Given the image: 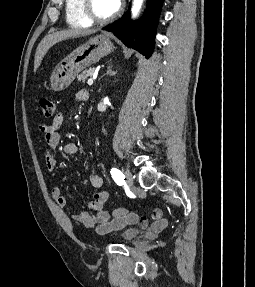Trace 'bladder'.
Returning <instances> with one entry per match:
<instances>
[{"label":"bladder","instance_id":"31cf9c89","mask_svg":"<svg viewBox=\"0 0 255 287\" xmlns=\"http://www.w3.org/2000/svg\"><path fill=\"white\" fill-rule=\"evenodd\" d=\"M140 233V229L137 226H126L118 230L114 237L121 241H131L135 239Z\"/></svg>","mask_w":255,"mask_h":287}]
</instances>
